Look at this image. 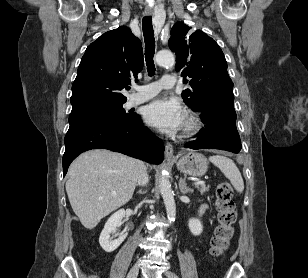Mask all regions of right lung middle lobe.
I'll list each match as a JSON object with an SVG mask.
<instances>
[{
    "mask_svg": "<svg viewBox=\"0 0 308 278\" xmlns=\"http://www.w3.org/2000/svg\"><path fill=\"white\" fill-rule=\"evenodd\" d=\"M123 104H117L108 106L105 108L93 110L87 113L69 116V123L86 120V119H98L108 122H119V121H131L135 119L136 114L126 113L123 108Z\"/></svg>",
    "mask_w": 308,
    "mask_h": 278,
    "instance_id": "dd1d6c3e",
    "label": "right lung middle lobe"
}]
</instances>
